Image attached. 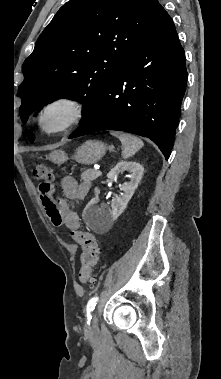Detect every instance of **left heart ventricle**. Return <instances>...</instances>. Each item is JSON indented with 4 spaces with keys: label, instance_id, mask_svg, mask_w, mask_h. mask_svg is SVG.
Wrapping results in <instances>:
<instances>
[{
    "label": "left heart ventricle",
    "instance_id": "b2bd125f",
    "mask_svg": "<svg viewBox=\"0 0 221 379\" xmlns=\"http://www.w3.org/2000/svg\"><path fill=\"white\" fill-rule=\"evenodd\" d=\"M57 119H58V116H57V115H52V116L50 117V122H51V123H55V122L57 121Z\"/></svg>",
    "mask_w": 221,
    "mask_h": 379
}]
</instances>
